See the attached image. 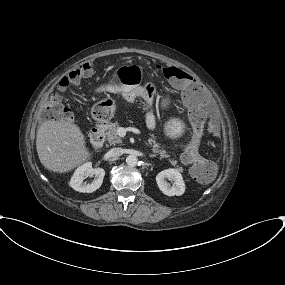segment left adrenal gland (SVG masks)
Masks as SVG:
<instances>
[{"mask_svg":"<svg viewBox=\"0 0 285 285\" xmlns=\"http://www.w3.org/2000/svg\"><path fill=\"white\" fill-rule=\"evenodd\" d=\"M149 157L152 158V157H155V155H151V154H150Z\"/></svg>","mask_w":285,"mask_h":285,"instance_id":"left-adrenal-gland-1","label":"left adrenal gland"}]
</instances>
